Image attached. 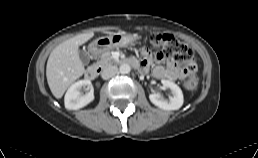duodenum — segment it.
Masks as SVG:
<instances>
[{
    "label": "duodenum",
    "instance_id": "410a0bca",
    "mask_svg": "<svg viewBox=\"0 0 258 158\" xmlns=\"http://www.w3.org/2000/svg\"><path fill=\"white\" fill-rule=\"evenodd\" d=\"M91 53L95 56L99 53V47L93 46L91 49ZM125 65L131 66L133 68L136 69H140L141 68V64L139 61H137L136 59H127L124 62ZM101 73V68L97 65H92L89 66L86 71H85V77L88 80H94L95 78H97L99 76V74Z\"/></svg>",
    "mask_w": 258,
    "mask_h": 158
}]
</instances>
